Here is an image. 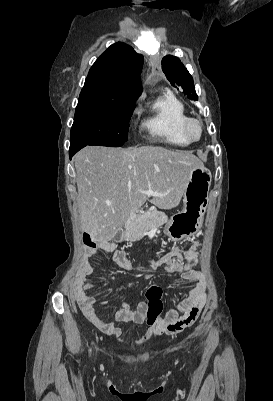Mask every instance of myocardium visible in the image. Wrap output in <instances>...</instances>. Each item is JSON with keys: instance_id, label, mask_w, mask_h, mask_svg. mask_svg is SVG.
Listing matches in <instances>:
<instances>
[{"instance_id": "f54148a6", "label": "myocardium", "mask_w": 273, "mask_h": 401, "mask_svg": "<svg viewBox=\"0 0 273 401\" xmlns=\"http://www.w3.org/2000/svg\"><path fill=\"white\" fill-rule=\"evenodd\" d=\"M197 124L200 129V135L198 138L191 136V127ZM181 134L189 143H198L202 141L206 134V128L200 119L189 117L181 126Z\"/></svg>"}]
</instances>
